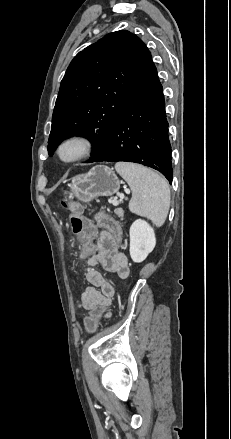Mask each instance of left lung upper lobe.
<instances>
[{
  "label": "left lung upper lobe",
  "instance_id": "1",
  "mask_svg": "<svg viewBox=\"0 0 231 439\" xmlns=\"http://www.w3.org/2000/svg\"><path fill=\"white\" fill-rule=\"evenodd\" d=\"M151 60L143 41L123 30L109 33L79 52L61 81L52 116L49 155L64 139L81 135L93 143L87 162L93 160Z\"/></svg>",
  "mask_w": 231,
  "mask_h": 439
}]
</instances>
